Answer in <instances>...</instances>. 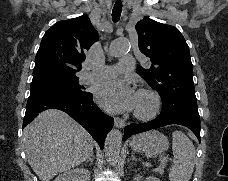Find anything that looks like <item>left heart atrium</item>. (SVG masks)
Wrapping results in <instances>:
<instances>
[{
    "instance_id": "39dd6f15",
    "label": "left heart atrium",
    "mask_w": 228,
    "mask_h": 181,
    "mask_svg": "<svg viewBox=\"0 0 228 181\" xmlns=\"http://www.w3.org/2000/svg\"><path fill=\"white\" fill-rule=\"evenodd\" d=\"M122 96L124 101H120ZM98 97L103 104L117 112L131 110L135 106L132 86L128 81L114 79L105 83L99 90Z\"/></svg>"
}]
</instances>
